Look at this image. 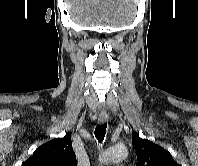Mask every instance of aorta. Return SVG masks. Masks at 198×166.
I'll return each mask as SVG.
<instances>
[{
	"label": "aorta",
	"mask_w": 198,
	"mask_h": 166,
	"mask_svg": "<svg viewBox=\"0 0 198 166\" xmlns=\"http://www.w3.org/2000/svg\"><path fill=\"white\" fill-rule=\"evenodd\" d=\"M128 155V150L123 145L113 146L108 148L100 156L99 161L101 164H108L111 162H117L124 160Z\"/></svg>",
	"instance_id": "obj_1"
}]
</instances>
